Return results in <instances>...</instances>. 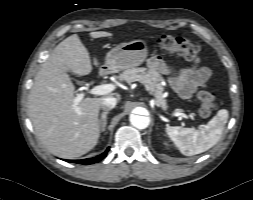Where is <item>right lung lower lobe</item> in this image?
<instances>
[{
	"label": "right lung lower lobe",
	"mask_w": 253,
	"mask_h": 200,
	"mask_svg": "<svg viewBox=\"0 0 253 200\" xmlns=\"http://www.w3.org/2000/svg\"><path fill=\"white\" fill-rule=\"evenodd\" d=\"M108 150H109V148L104 153H102L101 155H98V156L93 157V158L82 159V160H67V161L68 162H73V163H78V164H84V165L93 164V163H96V162L102 160L107 155Z\"/></svg>",
	"instance_id": "1"
}]
</instances>
